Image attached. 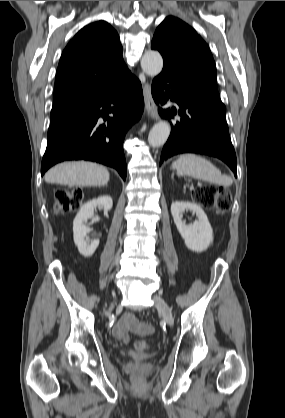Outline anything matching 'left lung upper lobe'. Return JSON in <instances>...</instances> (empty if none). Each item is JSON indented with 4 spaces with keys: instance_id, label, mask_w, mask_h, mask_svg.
I'll use <instances>...</instances> for the list:
<instances>
[{
    "instance_id": "5c2ea615",
    "label": "left lung upper lobe",
    "mask_w": 285,
    "mask_h": 418,
    "mask_svg": "<svg viewBox=\"0 0 285 418\" xmlns=\"http://www.w3.org/2000/svg\"><path fill=\"white\" fill-rule=\"evenodd\" d=\"M151 48L161 53L164 66L172 68L201 89L219 96L211 51L188 24L168 16L157 27Z\"/></svg>"
}]
</instances>
